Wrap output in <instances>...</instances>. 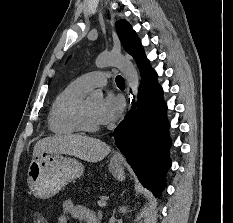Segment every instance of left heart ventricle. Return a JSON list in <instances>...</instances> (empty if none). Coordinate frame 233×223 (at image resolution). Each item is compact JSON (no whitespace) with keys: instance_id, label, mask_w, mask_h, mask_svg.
Wrapping results in <instances>:
<instances>
[{"instance_id":"obj_1","label":"left heart ventricle","mask_w":233,"mask_h":223,"mask_svg":"<svg viewBox=\"0 0 233 223\" xmlns=\"http://www.w3.org/2000/svg\"><path fill=\"white\" fill-rule=\"evenodd\" d=\"M99 103H100V100H96V99H88V102H87V110H88L89 119L93 123H98L96 113H97V108L99 106Z\"/></svg>"}]
</instances>
